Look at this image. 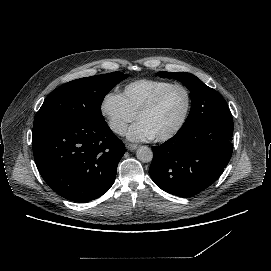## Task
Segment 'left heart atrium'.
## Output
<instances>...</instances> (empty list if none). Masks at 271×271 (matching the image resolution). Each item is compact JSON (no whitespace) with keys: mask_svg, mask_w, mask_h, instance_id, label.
<instances>
[{"mask_svg":"<svg viewBox=\"0 0 271 271\" xmlns=\"http://www.w3.org/2000/svg\"><path fill=\"white\" fill-rule=\"evenodd\" d=\"M153 138L151 132L147 126L141 122L137 121L131 126L128 132V139L132 142H145Z\"/></svg>","mask_w":271,"mask_h":271,"instance_id":"obj_1","label":"left heart atrium"}]
</instances>
